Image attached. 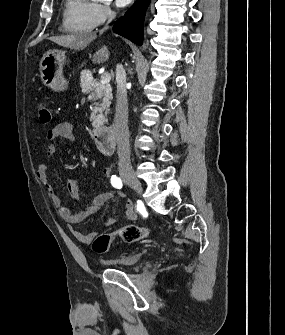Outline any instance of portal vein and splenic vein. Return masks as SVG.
Instances as JSON below:
<instances>
[{
  "label": "portal vein and splenic vein",
  "mask_w": 285,
  "mask_h": 335,
  "mask_svg": "<svg viewBox=\"0 0 285 335\" xmlns=\"http://www.w3.org/2000/svg\"><path fill=\"white\" fill-rule=\"evenodd\" d=\"M110 80H111L110 74H103V76H101V80H100L99 84H108V82H110Z\"/></svg>",
  "instance_id": "obj_1"
}]
</instances>
